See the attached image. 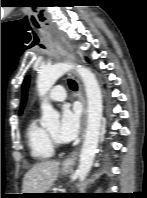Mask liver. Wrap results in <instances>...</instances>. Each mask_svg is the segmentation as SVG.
<instances>
[{
	"instance_id": "1",
	"label": "liver",
	"mask_w": 147,
	"mask_h": 198,
	"mask_svg": "<svg viewBox=\"0 0 147 198\" xmlns=\"http://www.w3.org/2000/svg\"><path fill=\"white\" fill-rule=\"evenodd\" d=\"M59 161H43L34 165L24 176L23 193H46L57 179Z\"/></svg>"
}]
</instances>
